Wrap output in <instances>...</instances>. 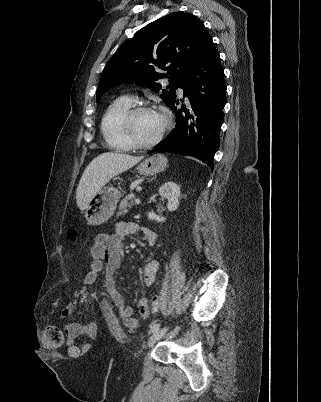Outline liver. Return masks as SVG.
Instances as JSON below:
<instances>
[{"mask_svg":"<svg viewBox=\"0 0 321 402\" xmlns=\"http://www.w3.org/2000/svg\"><path fill=\"white\" fill-rule=\"evenodd\" d=\"M142 158L118 152H105L95 157L84 170L76 190L79 209H86L90 200L105 184L136 165Z\"/></svg>","mask_w":321,"mask_h":402,"instance_id":"6515ba94","label":"liver"}]
</instances>
